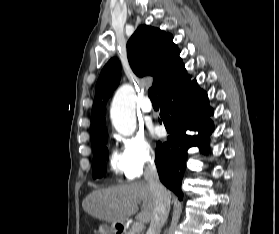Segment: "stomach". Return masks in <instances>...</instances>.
Segmentation results:
<instances>
[{
  "label": "stomach",
  "mask_w": 279,
  "mask_h": 234,
  "mask_svg": "<svg viewBox=\"0 0 279 234\" xmlns=\"http://www.w3.org/2000/svg\"><path fill=\"white\" fill-rule=\"evenodd\" d=\"M118 223H112L111 225L101 224L99 226V234H117L119 232L117 228Z\"/></svg>",
  "instance_id": "0dacf381"
}]
</instances>
